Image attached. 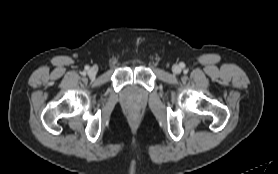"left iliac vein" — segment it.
I'll return each instance as SVG.
<instances>
[{"label":"left iliac vein","instance_id":"obj_1","mask_svg":"<svg viewBox=\"0 0 278 174\" xmlns=\"http://www.w3.org/2000/svg\"><path fill=\"white\" fill-rule=\"evenodd\" d=\"M172 71H173V73H175V74H179V73L181 72V68H180L178 65H174V66L172 67Z\"/></svg>","mask_w":278,"mask_h":174}]
</instances>
